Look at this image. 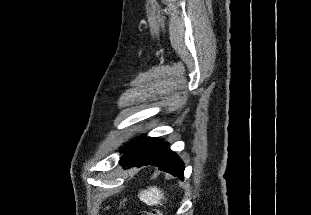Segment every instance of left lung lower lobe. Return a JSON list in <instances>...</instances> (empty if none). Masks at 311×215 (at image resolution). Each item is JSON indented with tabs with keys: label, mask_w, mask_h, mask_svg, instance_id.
Masks as SVG:
<instances>
[{
	"label": "left lung lower lobe",
	"mask_w": 311,
	"mask_h": 215,
	"mask_svg": "<svg viewBox=\"0 0 311 215\" xmlns=\"http://www.w3.org/2000/svg\"><path fill=\"white\" fill-rule=\"evenodd\" d=\"M167 146L168 143L162 139L142 135L121 156L120 163L128 168L154 165L161 171L184 179L183 163Z\"/></svg>",
	"instance_id": "0a47b994"
}]
</instances>
